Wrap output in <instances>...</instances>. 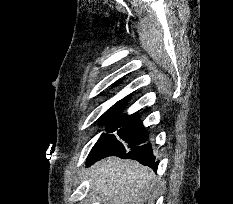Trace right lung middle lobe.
Masks as SVG:
<instances>
[{"instance_id":"right-lung-middle-lobe-1","label":"right lung middle lobe","mask_w":233,"mask_h":204,"mask_svg":"<svg viewBox=\"0 0 233 204\" xmlns=\"http://www.w3.org/2000/svg\"><path fill=\"white\" fill-rule=\"evenodd\" d=\"M123 105L110 108L102 117L101 122L108 127L107 133H103L94 147L103 148L109 151L129 150L130 148L143 144L147 141L148 135L144 133V127L139 117L123 114L113 122L111 117L119 114Z\"/></svg>"}]
</instances>
